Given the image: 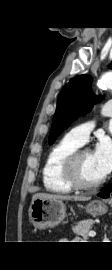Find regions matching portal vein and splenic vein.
<instances>
[{"label": "portal vein and splenic vein", "instance_id": "18ae733b", "mask_svg": "<svg viewBox=\"0 0 112 270\" xmlns=\"http://www.w3.org/2000/svg\"><path fill=\"white\" fill-rule=\"evenodd\" d=\"M95 235H96V232H95V231H90V232H89V236H90V237H95Z\"/></svg>", "mask_w": 112, "mask_h": 270}]
</instances>
